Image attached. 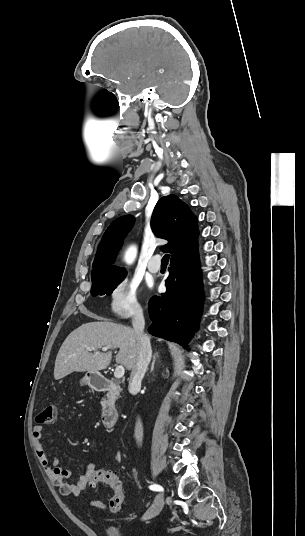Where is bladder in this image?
I'll return each instance as SVG.
<instances>
[{"mask_svg": "<svg viewBox=\"0 0 305 536\" xmlns=\"http://www.w3.org/2000/svg\"><path fill=\"white\" fill-rule=\"evenodd\" d=\"M102 530L105 536H126L125 530L122 526L111 523H104Z\"/></svg>", "mask_w": 305, "mask_h": 536, "instance_id": "1", "label": "bladder"}]
</instances>
